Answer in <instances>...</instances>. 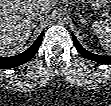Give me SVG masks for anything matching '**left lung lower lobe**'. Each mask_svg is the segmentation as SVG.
<instances>
[{
    "label": "left lung lower lobe",
    "mask_w": 111,
    "mask_h": 106,
    "mask_svg": "<svg viewBox=\"0 0 111 106\" xmlns=\"http://www.w3.org/2000/svg\"><path fill=\"white\" fill-rule=\"evenodd\" d=\"M72 39L74 41L75 47L78 50V52L82 54L85 58L99 63H103V64H111V56H102V55L91 53L81 46V44L78 42V40L73 34H72Z\"/></svg>",
    "instance_id": "1"
}]
</instances>
